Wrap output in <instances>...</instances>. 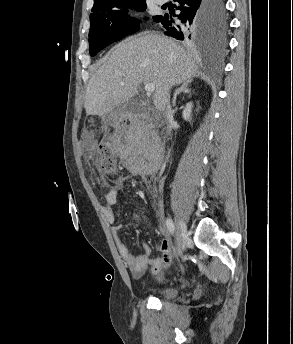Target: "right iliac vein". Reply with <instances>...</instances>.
<instances>
[{"mask_svg":"<svg viewBox=\"0 0 293 344\" xmlns=\"http://www.w3.org/2000/svg\"><path fill=\"white\" fill-rule=\"evenodd\" d=\"M176 235L178 244V255H181L184 250V240L187 238L188 233L185 222L180 218L176 219Z\"/></svg>","mask_w":293,"mask_h":344,"instance_id":"1","label":"right iliac vein"}]
</instances>
